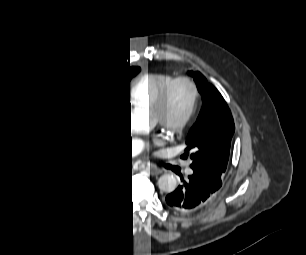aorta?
<instances>
[{"label": "aorta", "mask_w": 306, "mask_h": 255, "mask_svg": "<svg viewBox=\"0 0 306 255\" xmlns=\"http://www.w3.org/2000/svg\"><path fill=\"white\" fill-rule=\"evenodd\" d=\"M154 126L148 111L135 108L131 114V127L137 133H145ZM158 186L164 192H173L177 187V180L172 174H163L158 179Z\"/></svg>", "instance_id": "1"}]
</instances>
